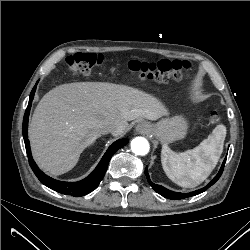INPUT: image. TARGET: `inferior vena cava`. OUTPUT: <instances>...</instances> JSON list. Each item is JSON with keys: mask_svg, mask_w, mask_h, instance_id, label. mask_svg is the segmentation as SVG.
I'll list each match as a JSON object with an SVG mask.
<instances>
[{"mask_svg": "<svg viewBox=\"0 0 250 250\" xmlns=\"http://www.w3.org/2000/svg\"><path fill=\"white\" fill-rule=\"evenodd\" d=\"M121 131H122V126L120 124L113 122L107 123L103 129L104 133H112V134L119 133Z\"/></svg>", "mask_w": 250, "mask_h": 250, "instance_id": "602c4592", "label": "inferior vena cava"}]
</instances>
